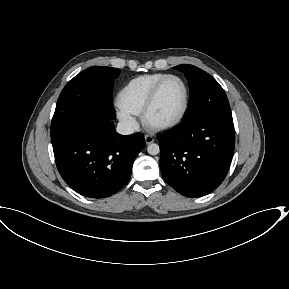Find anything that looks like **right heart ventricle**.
<instances>
[{"label":"right heart ventricle","instance_id":"e07e8e85","mask_svg":"<svg viewBox=\"0 0 289 289\" xmlns=\"http://www.w3.org/2000/svg\"><path fill=\"white\" fill-rule=\"evenodd\" d=\"M168 74H144L130 80L118 93L119 106L133 115H139L154 85Z\"/></svg>","mask_w":289,"mask_h":289}]
</instances>
